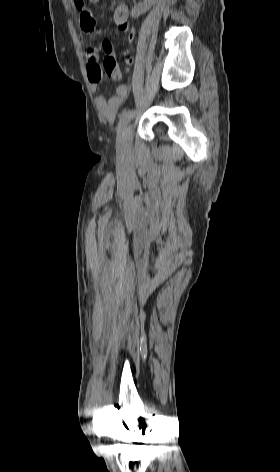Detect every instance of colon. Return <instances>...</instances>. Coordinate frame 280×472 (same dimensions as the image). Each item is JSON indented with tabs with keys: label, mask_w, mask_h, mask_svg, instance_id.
<instances>
[{
	"label": "colon",
	"mask_w": 280,
	"mask_h": 472,
	"mask_svg": "<svg viewBox=\"0 0 280 472\" xmlns=\"http://www.w3.org/2000/svg\"><path fill=\"white\" fill-rule=\"evenodd\" d=\"M127 61H131V57L127 55ZM103 68L106 75L112 80H119L122 76L121 71L117 66V62L112 59H104L103 61Z\"/></svg>",
	"instance_id": "5ec220e1"
}]
</instances>
